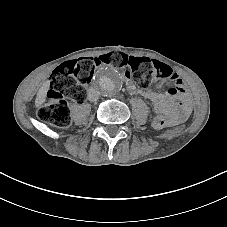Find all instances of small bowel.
<instances>
[{
	"mask_svg": "<svg viewBox=\"0 0 227 227\" xmlns=\"http://www.w3.org/2000/svg\"><path fill=\"white\" fill-rule=\"evenodd\" d=\"M182 93H184V91ZM141 94L153 102L156 114H170L177 121H180L185 119L189 113V105L184 99H181L177 104V108H175L164 94L157 91L142 89Z\"/></svg>",
	"mask_w": 227,
	"mask_h": 227,
	"instance_id": "small-bowel-1",
	"label": "small bowel"
}]
</instances>
